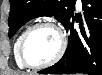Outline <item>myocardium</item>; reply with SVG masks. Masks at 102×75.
Instances as JSON below:
<instances>
[{
    "label": "myocardium",
    "mask_w": 102,
    "mask_h": 75,
    "mask_svg": "<svg viewBox=\"0 0 102 75\" xmlns=\"http://www.w3.org/2000/svg\"><path fill=\"white\" fill-rule=\"evenodd\" d=\"M42 27H49V28H52L53 30H55L57 32V34L60 38V47H59L57 54L51 60L44 62V63H41V64H34V63L30 62L29 59L27 58L26 52H25V47H26V43H27L29 37L37 29L42 28ZM66 47H67V37H66L64 31L61 29V27L51 20H43V21H39V22L34 23L25 32V34L23 35V37L20 41L19 52H20V57L26 66L41 68V67H47V66L53 65L58 60H60V58L65 53Z\"/></svg>",
    "instance_id": "myocardium-1"
}]
</instances>
